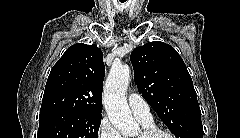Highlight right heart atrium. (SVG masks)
Here are the masks:
<instances>
[{
  "instance_id": "obj_1",
  "label": "right heart atrium",
  "mask_w": 240,
  "mask_h": 138,
  "mask_svg": "<svg viewBox=\"0 0 240 138\" xmlns=\"http://www.w3.org/2000/svg\"><path fill=\"white\" fill-rule=\"evenodd\" d=\"M97 138H122L119 131L112 125L107 117H103L98 125Z\"/></svg>"
}]
</instances>
